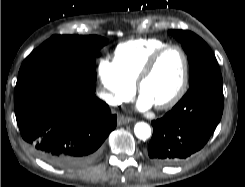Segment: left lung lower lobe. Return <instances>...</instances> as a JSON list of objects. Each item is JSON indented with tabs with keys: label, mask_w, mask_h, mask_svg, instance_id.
I'll use <instances>...</instances> for the list:
<instances>
[{
	"label": "left lung lower lobe",
	"mask_w": 245,
	"mask_h": 187,
	"mask_svg": "<svg viewBox=\"0 0 245 187\" xmlns=\"http://www.w3.org/2000/svg\"><path fill=\"white\" fill-rule=\"evenodd\" d=\"M222 113V75L212 74L195 82L171 111L152 121L148 158L162 165L185 160L207 143Z\"/></svg>",
	"instance_id": "obj_1"
}]
</instances>
